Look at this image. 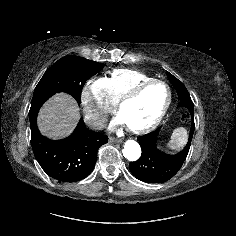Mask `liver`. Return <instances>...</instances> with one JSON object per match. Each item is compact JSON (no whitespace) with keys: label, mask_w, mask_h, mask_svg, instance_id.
I'll use <instances>...</instances> for the list:
<instances>
[{"label":"liver","mask_w":236,"mask_h":236,"mask_svg":"<svg viewBox=\"0 0 236 236\" xmlns=\"http://www.w3.org/2000/svg\"><path fill=\"white\" fill-rule=\"evenodd\" d=\"M80 118L77 102L66 93H59L50 98L38 115L41 133L53 139L64 138L75 129Z\"/></svg>","instance_id":"6515ba94"}]
</instances>
